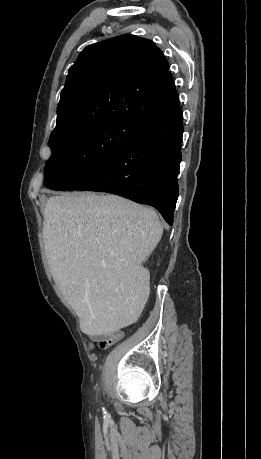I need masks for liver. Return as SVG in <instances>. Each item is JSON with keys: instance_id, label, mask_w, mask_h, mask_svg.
Here are the masks:
<instances>
[{"instance_id": "1", "label": "liver", "mask_w": 261, "mask_h": 459, "mask_svg": "<svg viewBox=\"0 0 261 459\" xmlns=\"http://www.w3.org/2000/svg\"><path fill=\"white\" fill-rule=\"evenodd\" d=\"M163 227L154 209L116 195L73 192L52 196L43 236L55 283L91 336L129 323Z\"/></svg>"}]
</instances>
